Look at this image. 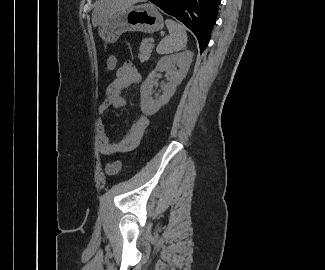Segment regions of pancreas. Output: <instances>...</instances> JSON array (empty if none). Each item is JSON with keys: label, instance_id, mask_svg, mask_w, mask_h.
<instances>
[{"label": "pancreas", "instance_id": "obj_1", "mask_svg": "<svg viewBox=\"0 0 325 270\" xmlns=\"http://www.w3.org/2000/svg\"><path fill=\"white\" fill-rule=\"evenodd\" d=\"M154 46L147 39H144L140 45L138 58L141 61H145L150 57V53L152 52Z\"/></svg>", "mask_w": 325, "mask_h": 270}]
</instances>
